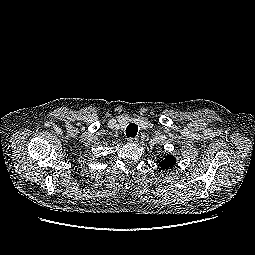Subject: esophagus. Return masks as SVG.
I'll use <instances>...</instances> for the list:
<instances>
[{
	"label": "esophagus",
	"mask_w": 255,
	"mask_h": 255,
	"mask_svg": "<svg viewBox=\"0 0 255 255\" xmlns=\"http://www.w3.org/2000/svg\"><path fill=\"white\" fill-rule=\"evenodd\" d=\"M129 144H136L138 143V137H132L128 139Z\"/></svg>",
	"instance_id": "1"
}]
</instances>
